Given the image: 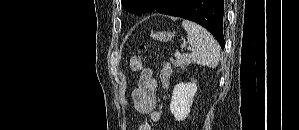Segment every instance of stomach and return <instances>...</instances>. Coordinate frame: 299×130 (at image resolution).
<instances>
[{"instance_id": "stomach-1", "label": "stomach", "mask_w": 299, "mask_h": 130, "mask_svg": "<svg viewBox=\"0 0 299 130\" xmlns=\"http://www.w3.org/2000/svg\"><path fill=\"white\" fill-rule=\"evenodd\" d=\"M153 39L161 41V42H168L171 41L173 38V34L171 32H158L156 34L151 35Z\"/></svg>"}]
</instances>
